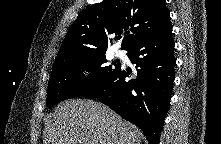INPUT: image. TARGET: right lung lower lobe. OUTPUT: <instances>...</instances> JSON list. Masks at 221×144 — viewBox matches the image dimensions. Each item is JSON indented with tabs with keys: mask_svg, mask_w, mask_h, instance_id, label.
Listing matches in <instances>:
<instances>
[{
	"mask_svg": "<svg viewBox=\"0 0 221 144\" xmlns=\"http://www.w3.org/2000/svg\"><path fill=\"white\" fill-rule=\"evenodd\" d=\"M127 56L136 64L133 79L126 81L131 73L120 66L108 81L84 96L98 98L137 125L150 144H159L175 77L171 24L132 45Z\"/></svg>",
	"mask_w": 221,
	"mask_h": 144,
	"instance_id": "right-lung-lower-lobe-1",
	"label": "right lung lower lobe"
}]
</instances>
